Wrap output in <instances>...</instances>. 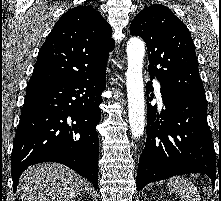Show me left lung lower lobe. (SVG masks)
I'll use <instances>...</instances> for the list:
<instances>
[{
  "label": "left lung lower lobe",
  "mask_w": 221,
  "mask_h": 201,
  "mask_svg": "<svg viewBox=\"0 0 221 201\" xmlns=\"http://www.w3.org/2000/svg\"><path fill=\"white\" fill-rule=\"evenodd\" d=\"M152 91V83L147 82L146 94ZM161 94L165 109L160 114L156 105L147 103V139L139 159L137 191L148 183L189 173H204L215 183L216 156L206 98L162 88Z\"/></svg>",
  "instance_id": "1"
}]
</instances>
